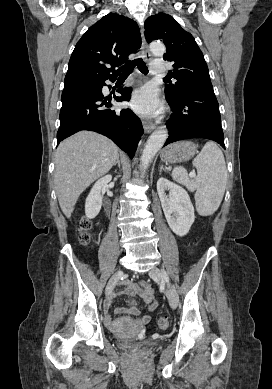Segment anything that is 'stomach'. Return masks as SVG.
<instances>
[{
  "label": "stomach",
  "mask_w": 272,
  "mask_h": 389,
  "mask_svg": "<svg viewBox=\"0 0 272 389\" xmlns=\"http://www.w3.org/2000/svg\"><path fill=\"white\" fill-rule=\"evenodd\" d=\"M197 153V145L191 141H180L165 147L161 152V159L178 163L191 159Z\"/></svg>",
  "instance_id": "obj_1"
}]
</instances>
